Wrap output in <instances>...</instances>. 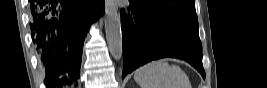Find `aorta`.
<instances>
[{
	"label": "aorta",
	"instance_id": "obj_1",
	"mask_svg": "<svg viewBox=\"0 0 267 88\" xmlns=\"http://www.w3.org/2000/svg\"><path fill=\"white\" fill-rule=\"evenodd\" d=\"M105 32L110 54L119 61L123 55L121 23L115 4L105 3Z\"/></svg>",
	"mask_w": 267,
	"mask_h": 88
}]
</instances>
